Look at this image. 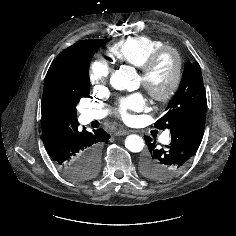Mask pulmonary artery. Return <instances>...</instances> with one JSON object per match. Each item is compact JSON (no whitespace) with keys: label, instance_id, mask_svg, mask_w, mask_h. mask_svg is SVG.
Masks as SVG:
<instances>
[{"label":"pulmonary artery","instance_id":"obj_1","mask_svg":"<svg viewBox=\"0 0 236 236\" xmlns=\"http://www.w3.org/2000/svg\"><path fill=\"white\" fill-rule=\"evenodd\" d=\"M105 111L103 110H86L83 112L84 122L88 123L93 120L102 119L105 116ZM162 142L167 143L169 141V134L165 133L162 138Z\"/></svg>","mask_w":236,"mask_h":236}]
</instances>
